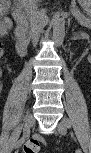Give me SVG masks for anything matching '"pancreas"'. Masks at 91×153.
<instances>
[{
	"label": "pancreas",
	"instance_id": "1",
	"mask_svg": "<svg viewBox=\"0 0 91 153\" xmlns=\"http://www.w3.org/2000/svg\"><path fill=\"white\" fill-rule=\"evenodd\" d=\"M73 14L75 15L76 19L78 20V22L80 24H82L83 26H86V27H90L91 22H90L89 18H87L84 15L80 14V12L77 9L73 10ZM24 28L26 30L27 36H31V30H30V29H32L31 21L30 22L29 21L25 22Z\"/></svg>",
	"mask_w": 91,
	"mask_h": 153
}]
</instances>
